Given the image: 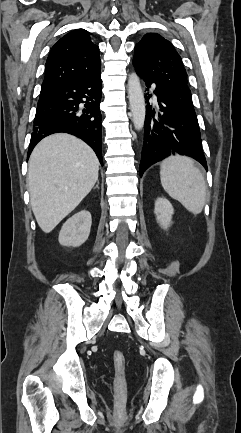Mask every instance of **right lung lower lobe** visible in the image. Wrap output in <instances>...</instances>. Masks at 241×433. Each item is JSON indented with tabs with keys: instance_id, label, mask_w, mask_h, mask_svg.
Returning a JSON list of instances; mask_svg holds the SVG:
<instances>
[{
	"instance_id": "obj_1",
	"label": "right lung lower lobe",
	"mask_w": 241,
	"mask_h": 433,
	"mask_svg": "<svg viewBox=\"0 0 241 433\" xmlns=\"http://www.w3.org/2000/svg\"><path fill=\"white\" fill-rule=\"evenodd\" d=\"M101 72L76 78L41 93L34 119L28 157L44 137L58 132L72 134L93 148L101 165ZM84 103L82 106L81 104Z\"/></svg>"
}]
</instances>
